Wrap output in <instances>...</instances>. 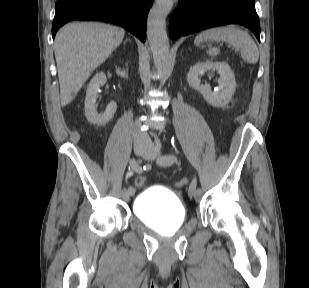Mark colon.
I'll use <instances>...</instances> for the list:
<instances>
[{
	"label": "colon",
	"mask_w": 309,
	"mask_h": 288,
	"mask_svg": "<svg viewBox=\"0 0 309 288\" xmlns=\"http://www.w3.org/2000/svg\"><path fill=\"white\" fill-rule=\"evenodd\" d=\"M188 183L187 179H180L176 182V185L181 186ZM135 184L137 187H143L146 184V179L144 177H138L135 180Z\"/></svg>",
	"instance_id": "1"
}]
</instances>
